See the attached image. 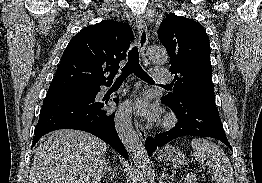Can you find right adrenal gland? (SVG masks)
<instances>
[{
    "instance_id": "right-adrenal-gland-1",
    "label": "right adrenal gland",
    "mask_w": 262,
    "mask_h": 183,
    "mask_svg": "<svg viewBox=\"0 0 262 183\" xmlns=\"http://www.w3.org/2000/svg\"><path fill=\"white\" fill-rule=\"evenodd\" d=\"M104 170L105 173L109 172V174H111V180H116L117 172L114 165L111 166L108 162L104 161Z\"/></svg>"
}]
</instances>
